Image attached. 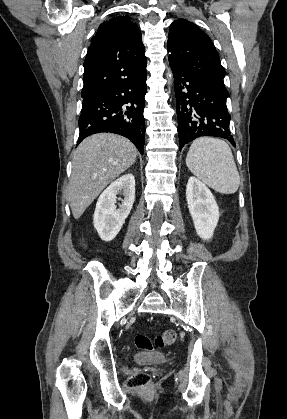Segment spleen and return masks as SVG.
I'll return each mask as SVG.
<instances>
[{"instance_id":"3e777b00","label":"spleen","mask_w":287,"mask_h":419,"mask_svg":"<svg viewBox=\"0 0 287 419\" xmlns=\"http://www.w3.org/2000/svg\"><path fill=\"white\" fill-rule=\"evenodd\" d=\"M186 165L195 176L221 194H233L239 188L240 176L232 151L221 139H196L189 148Z\"/></svg>"}]
</instances>
